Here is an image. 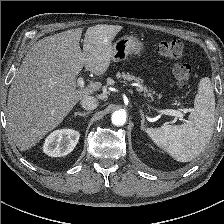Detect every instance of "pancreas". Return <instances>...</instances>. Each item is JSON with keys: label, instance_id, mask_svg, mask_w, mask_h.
I'll return each mask as SVG.
<instances>
[{"label": "pancreas", "instance_id": "obj_1", "mask_svg": "<svg viewBox=\"0 0 224 224\" xmlns=\"http://www.w3.org/2000/svg\"><path fill=\"white\" fill-rule=\"evenodd\" d=\"M116 77H117V79L123 78L124 81H135V82L140 83V84L143 83L142 79L137 78L133 75H130L129 73H119L118 72L116 74ZM144 91L147 92V93L150 92V90H148L145 86H144Z\"/></svg>", "mask_w": 224, "mask_h": 224}]
</instances>
